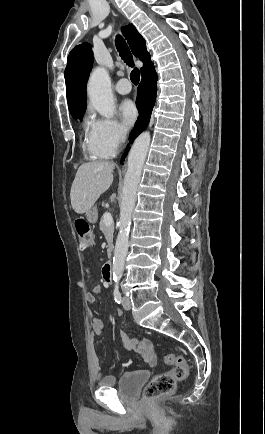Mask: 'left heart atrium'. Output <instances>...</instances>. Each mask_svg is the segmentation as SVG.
I'll list each match as a JSON object with an SVG mask.
<instances>
[{"mask_svg":"<svg viewBox=\"0 0 265 434\" xmlns=\"http://www.w3.org/2000/svg\"><path fill=\"white\" fill-rule=\"evenodd\" d=\"M120 111H121L123 124L126 127L132 126L138 116V111L135 105L130 101H126L122 103L120 107Z\"/></svg>","mask_w":265,"mask_h":434,"instance_id":"39dd6f15","label":"left heart atrium"}]
</instances>
